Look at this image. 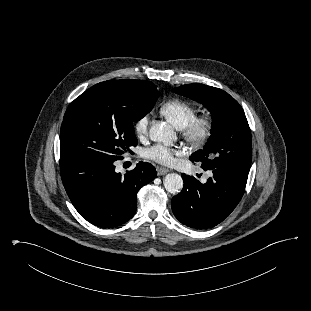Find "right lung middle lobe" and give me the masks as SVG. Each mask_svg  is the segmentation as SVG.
<instances>
[{"instance_id": "dd1d6c3e", "label": "right lung middle lobe", "mask_w": 311, "mask_h": 311, "mask_svg": "<svg viewBox=\"0 0 311 311\" xmlns=\"http://www.w3.org/2000/svg\"><path fill=\"white\" fill-rule=\"evenodd\" d=\"M158 95L154 84L139 86L126 80L104 81L85 91L64 115L60 161L122 159L137 145L133 123L151 111Z\"/></svg>"}]
</instances>
